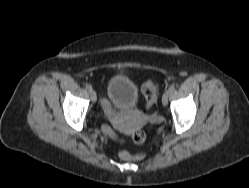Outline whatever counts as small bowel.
Masks as SVG:
<instances>
[{
	"instance_id": "small-bowel-1",
	"label": "small bowel",
	"mask_w": 249,
	"mask_h": 188,
	"mask_svg": "<svg viewBox=\"0 0 249 188\" xmlns=\"http://www.w3.org/2000/svg\"><path fill=\"white\" fill-rule=\"evenodd\" d=\"M102 107L105 111V113L108 115V116H111L112 115V106L110 104V102L107 100V99H102Z\"/></svg>"
}]
</instances>
